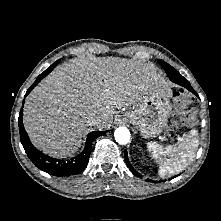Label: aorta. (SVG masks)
<instances>
[{
	"label": "aorta",
	"instance_id": "aorta-1",
	"mask_svg": "<svg viewBox=\"0 0 221 221\" xmlns=\"http://www.w3.org/2000/svg\"><path fill=\"white\" fill-rule=\"evenodd\" d=\"M114 137L119 144L125 145L130 140V131L125 127H118L114 132Z\"/></svg>",
	"mask_w": 221,
	"mask_h": 221
}]
</instances>
